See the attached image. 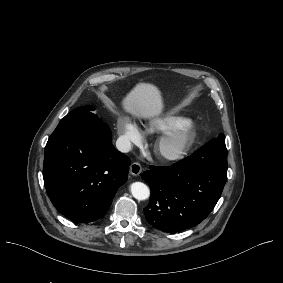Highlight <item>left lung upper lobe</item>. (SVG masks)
<instances>
[{"instance_id":"obj_1","label":"left lung upper lobe","mask_w":283,"mask_h":283,"mask_svg":"<svg viewBox=\"0 0 283 283\" xmlns=\"http://www.w3.org/2000/svg\"><path fill=\"white\" fill-rule=\"evenodd\" d=\"M217 139H218V140H223V141H225V140H224V134H220Z\"/></svg>"}]
</instances>
